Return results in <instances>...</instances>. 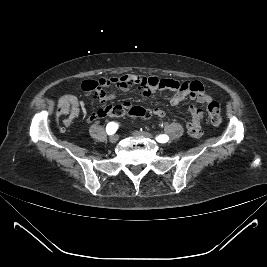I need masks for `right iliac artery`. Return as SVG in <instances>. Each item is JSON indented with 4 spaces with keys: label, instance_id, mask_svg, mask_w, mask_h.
Listing matches in <instances>:
<instances>
[{
    "label": "right iliac artery",
    "instance_id": "82829eb1",
    "mask_svg": "<svg viewBox=\"0 0 267 267\" xmlns=\"http://www.w3.org/2000/svg\"><path fill=\"white\" fill-rule=\"evenodd\" d=\"M118 129V125L115 122H110L107 124L106 126V132L109 135H112L116 132V130Z\"/></svg>",
    "mask_w": 267,
    "mask_h": 267
}]
</instances>
